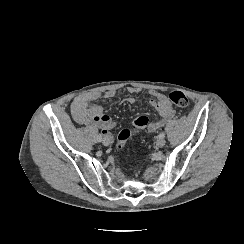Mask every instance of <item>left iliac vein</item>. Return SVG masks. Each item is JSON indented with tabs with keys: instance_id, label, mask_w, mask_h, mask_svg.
Masks as SVG:
<instances>
[{
	"instance_id": "4c4485c4",
	"label": "left iliac vein",
	"mask_w": 244,
	"mask_h": 244,
	"mask_svg": "<svg viewBox=\"0 0 244 244\" xmlns=\"http://www.w3.org/2000/svg\"><path fill=\"white\" fill-rule=\"evenodd\" d=\"M156 145L158 147H163L165 145V139L158 137L157 140H156Z\"/></svg>"
}]
</instances>
